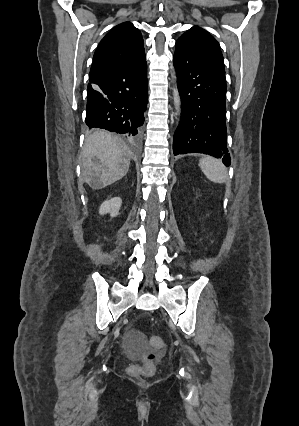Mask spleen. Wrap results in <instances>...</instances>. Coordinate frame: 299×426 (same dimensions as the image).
<instances>
[{
	"mask_svg": "<svg viewBox=\"0 0 299 426\" xmlns=\"http://www.w3.org/2000/svg\"><path fill=\"white\" fill-rule=\"evenodd\" d=\"M199 166L205 176L214 183H224L227 177L224 165L212 157L200 159Z\"/></svg>",
	"mask_w": 299,
	"mask_h": 426,
	"instance_id": "obj_1",
	"label": "spleen"
}]
</instances>
